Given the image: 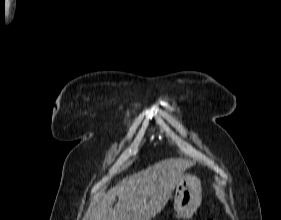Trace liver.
Here are the masks:
<instances>
[{
	"label": "liver",
	"instance_id": "liver-1",
	"mask_svg": "<svg viewBox=\"0 0 281 220\" xmlns=\"http://www.w3.org/2000/svg\"><path fill=\"white\" fill-rule=\"evenodd\" d=\"M191 165L187 159L169 158L124 178L109 189L90 220H151L165 207ZM116 196L118 203L113 208Z\"/></svg>",
	"mask_w": 281,
	"mask_h": 220
}]
</instances>
